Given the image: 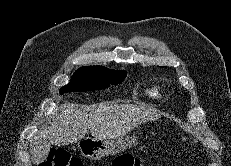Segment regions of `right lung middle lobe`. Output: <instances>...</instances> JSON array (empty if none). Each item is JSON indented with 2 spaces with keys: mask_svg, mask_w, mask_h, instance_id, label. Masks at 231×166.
<instances>
[{
  "mask_svg": "<svg viewBox=\"0 0 231 166\" xmlns=\"http://www.w3.org/2000/svg\"><path fill=\"white\" fill-rule=\"evenodd\" d=\"M126 74L124 70H109L103 66H84L75 71L71 81L60 89V94L105 89L111 84L121 83Z\"/></svg>",
  "mask_w": 231,
  "mask_h": 166,
  "instance_id": "obj_1",
  "label": "right lung middle lobe"
}]
</instances>
